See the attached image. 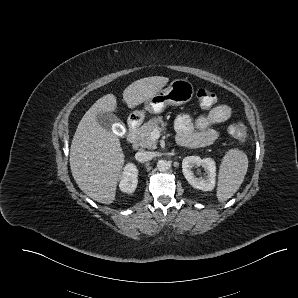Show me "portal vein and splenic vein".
Wrapping results in <instances>:
<instances>
[{
  "instance_id": "portal-vein-and-splenic-vein-1",
  "label": "portal vein and splenic vein",
  "mask_w": 298,
  "mask_h": 298,
  "mask_svg": "<svg viewBox=\"0 0 298 298\" xmlns=\"http://www.w3.org/2000/svg\"><path fill=\"white\" fill-rule=\"evenodd\" d=\"M161 135V129L159 127L154 128L151 132V138L152 139H158Z\"/></svg>"
}]
</instances>
